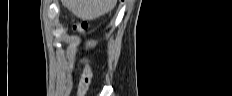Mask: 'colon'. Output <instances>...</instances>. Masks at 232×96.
I'll return each mask as SVG.
<instances>
[{"label":"colon","instance_id":"5ec220e1","mask_svg":"<svg viewBox=\"0 0 232 96\" xmlns=\"http://www.w3.org/2000/svg\"><path fill=\"white\" fill-rule=\"evenodd\" d=\"M74 28L79 34L83 35L85 33V31L87 30V28H88V24H87V22H77L75 24ZM86 80L87 79H85V81ZM80 90L82 92L84 89L80 88Z\"/></svg>","mask_w":232,"mask_h":96}]
</instances>
